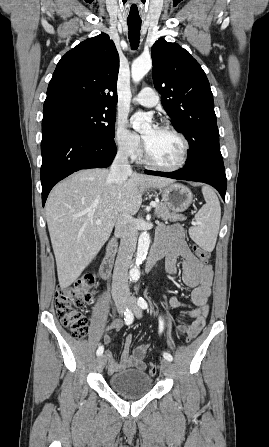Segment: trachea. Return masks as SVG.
I'll use <instances>...</instances> for the list:
<instances>
[{
  "label": "trachea",
  "mask_w": 269,
  "mask_h": 447,
  "mask_svg": "<svg viewBox=\"0 0 269 447\" xmlns=\"http://www.w3.org/2000/svg\"><path fill=\"white\" fill-rule=\"evenodd\" d=\"M128 35L132 49H136L139 45L141 22H127Z\"/></svg>",
  "instance_id": "obj_1"
}]
</instances>
